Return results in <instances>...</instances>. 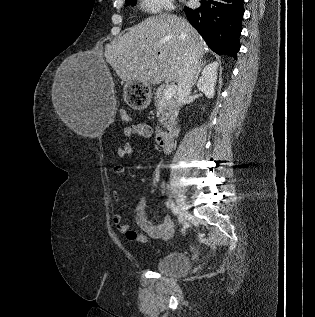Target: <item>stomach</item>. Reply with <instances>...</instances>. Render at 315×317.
Returning <instances> with one entry per match:
<instances>
[{
  "mask_svg": "<svg viewBox=\"0 0 315 317\" xmlns=\"http://www.w3.org/2000/svg\"><path fill=\"white\" fill-rule=\"evenodd\" d=\"M125 98L131 107L136 110L150 108L151 104H155V97H152L151 87L149 84L138 80L126 82L124 86ZM132 98V100H130Z\"/></svg>",
  "mask_w": 315,
  "mask_h": 317,
  "instance_id": "obj_1",
  "label": "stomach"
}]
</instances>
